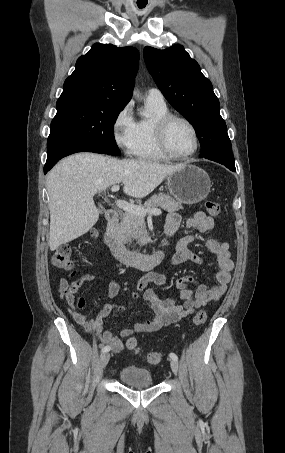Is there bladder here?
Segmentation results:
<instances>
[{"mask_svg":"<svg viewBox=\"0 0 285 453\" xmlns=\"http://www.w3.org/2000/svg\"><path fill=\"white\" fill-rule=\"evenodd\" d=\"M120 381L131 387H149L153 384L151 372L137 365H126L119 371Z\"/></svg>","mask_w":285,"mask_h":453,"instance_id":"1","label":"bladder"}]
</instances>
